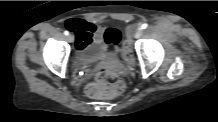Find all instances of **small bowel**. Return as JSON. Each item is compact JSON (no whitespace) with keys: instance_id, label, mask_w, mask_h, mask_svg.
I'll return each mask as SVG.
<instances>
[{"instance_id":"c3829d8e","label":"small bowel","mask_w":218,"mask_h":122,"mask_svg":"<svg viewBox=\"0 0 218 122\" xmlns=\"http://www.w3.org/2000/svg\"><path fill=\"white\" fill-rule=\"evenodd\" d=\"M65 26L75 35L76 48L83 52L88 50L90 55H99V49L104 47V26H97L82 19H68Z\"/></svg>"}]
</instances>
